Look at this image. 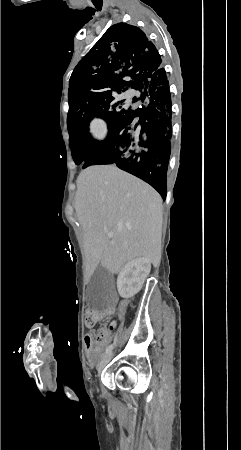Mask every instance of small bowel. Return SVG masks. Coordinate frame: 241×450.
<instances>
[{"mask_svg": "<svg viewBox=\"0 0 241 450\" xmlns=\"http://www.w3.org/2000/svg\"><path fill=\"white\" fill-rule=\"evenodd\" d=\"M116 316L118 318H121L123 316V313L121 311H118L116 313ZM113 326H114V323H112L109 328L108 327L100 328L98 330V334L89 333L85 336L84 344H85L86 352L88 355V360L91 365L95 364V362L97 361V359L101 353L100 347H96V348L94 347L95 341L103 342V343L106 342L107 338H108V332L112 329ZM97 336L99 337L100 340H97Z\"/></svg>", "mask_w": 241, "mask_h": 450, "instance_id": "1", "label": "small bowel"}]
</instances>
